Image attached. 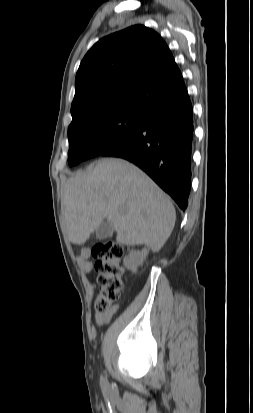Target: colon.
<instances>
[{"label": "colon", "instance_id": "1", "mask_svg": "<svg viewBox=\"0 0 253 413\" xmlns=\"http://www.w3.org/2000/svg\"><path fill=\"white\" fill-rule=\"evenodd\" d=\"M91 252L96 259L99 286L95 311L97 314H105L121 299L124 290V268L120 263L123 248L115 241L108 240L96 244Z\"/></svg>", "mask_w": 253, "mask_h": 413}]
</instances>
